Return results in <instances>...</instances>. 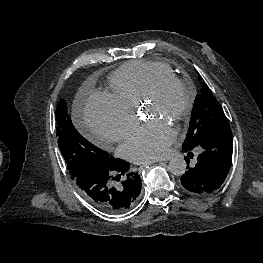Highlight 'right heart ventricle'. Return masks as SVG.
I'll return each instance as SVG.
<instances>
[{
    "instance_id": "right-heart-ventricle-1",
    "label": "right heart ventricle",
    "mask_w": 263,
    "mask_h": 263,
    "mask_svg": "<svg viewBox=\"0 0 263 263\" xmlns=\"http://www.w3.org/2000/svg\"><path fill=\"white\" fill-rule=\"evenodd\" d=\"M175 75L167 64L147 60L129 61L109 78L111 95L135 110L150 86L161 76Z\"/></svg>"
}]
</instances>
